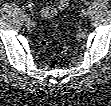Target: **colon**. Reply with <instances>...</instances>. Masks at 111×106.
<instances>
[{"label":"colon","mask_w":111,"mask_h":106,"mask_svg":"<svg viewBox=\"0 0 111 106\" xmlns=\"http://www.w3.org/2000/svg\"><path fill=\"white\" fill-rule=\"evenodd\" d=\"M41 44H42V46H44V47L47 46V42H46V41H42Z\"/></svg>","instance_id":"colon-1"}]
</instances>
